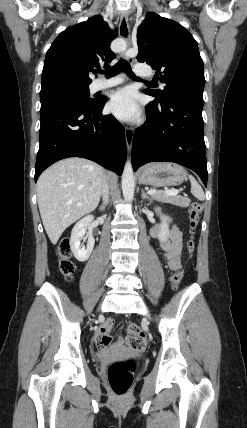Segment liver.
<instances>
[{"label":"liver","mask_w":247,"mask_h":428,"mask_svg":"<svg viewBox=\"0 0 247 428\" xmlns=\"http://www.w3.org/2000/svg\"><path fill=\"white\" fill-rule=\"evenodd\" d=\"M102 187L101 166L82 158L61 160L40 175L38 206L52 244L67 227L98 206Z\"/></svg>","instance_id":"liver-1"}]
</instances>
